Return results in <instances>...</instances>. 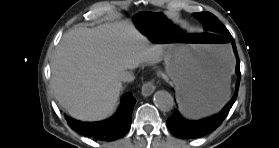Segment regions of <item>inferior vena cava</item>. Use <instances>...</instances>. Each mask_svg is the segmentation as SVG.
<instances>
[{
  "label": "inferior vena cava",
  "mask_w": 279,
  "mask_h": 148,
  "mask_svg": "<svg viewBox=\"0 0 279 148\" xmlns=\"http://www.w3.org/2000/svg\"><path fill=\"white\" fill-rule=\"evenodd\" d=\"M134 79H135V76L132 71L125 70V71L121 72L119 75V80L122 82H132V81H134Z\"/></svg>",
  "instance_id": "1"
}]
</instances>
